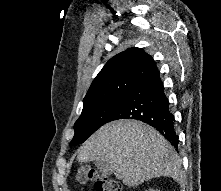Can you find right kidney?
I'll list each match as a JSON object with an SVG mask.
<instances>
[{
  "mask_svg": "<svg viewBox=\"0 0 221 191\" xmlns=\"http://www.w3.org/2000/svg\"><path fill=\"white\" fill-rule=\"evenodd\" d=\"M149 191H158V190H153V189H150Z\"/></svg>",
  "mask_w": 221,
  "mask_h": 191,
  "instance_id": "ca27d5eb",
  "label": "right kidney"
}]
</instances>
